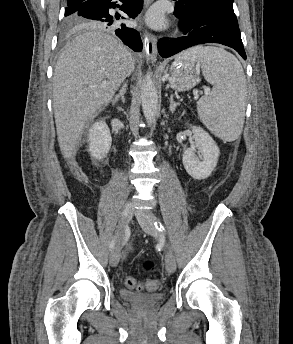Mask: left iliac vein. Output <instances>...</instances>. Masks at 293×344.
<instances>
[{
	"label": "left iliac vein",
	"mask_w": 293,
	"mask_h": 344,
	"mask_svg": "<svg viewBox=\"0 0 293 344\" xmlns=\"http://www.w3.org/2000/svg\"><path fill=\"white\" fill-rule=\"evenodd\" d=\"M136 217L142 229L149 235L157 237L160 235L159 230L155 226L157 217L150 210H137ZM165 267L168 273H174L176 270L175 259L168 248H166Z\"/></svg>",
	"instance_id": "1"
}]
</instances>
